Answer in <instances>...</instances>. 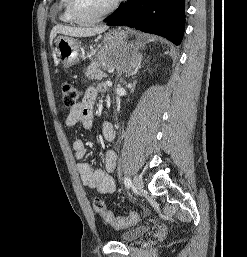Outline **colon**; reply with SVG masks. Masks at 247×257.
<instances>
[{"mask_svg":"<svg viewBox=\"0 0 247 257\" xmlns=\"http://www.w3.org/2000/svg\"><path fill=\"white\" fill-rule=\"evenodd\" d=\"M81 97V90L72 83L64 82L61 84V102L71 108L76 105ZM94 211L107 223L117 229H123L135 225L139 221V214L135 211L127 216H116L110 211L105 202L100 198L93 199Z\"/></svg>","mask_w":247,"mask_h":257,"instance_id":"1","label":"colon"}]
</instances>
